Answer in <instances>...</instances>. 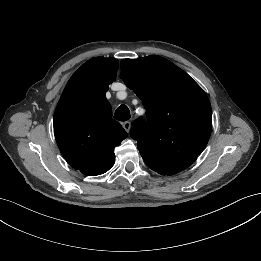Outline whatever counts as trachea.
<instances>
[{"label":"trachea","instance_id":"trachea-1","mask_svg":"<svg viewBox=\"0 0 261 261\" xmlns=\"http://www.w3.org/2000/svg\"><path fill=\"white\" fill-rule=\"evenodd\" d=\"M131 117L130 111L126 105H120L114 114V118L119 121H127Z\"/></svg>","mask_w":261,"mask_h":261}]
</instances>
